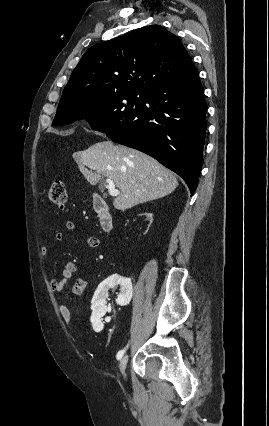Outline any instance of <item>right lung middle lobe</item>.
Listing matches in <instances>:
<instances>
[{
	"instance_id": "obj_1",
	"label": "right lung middle lobe",
	"mask_w": 269,
	"mask_h": 426,
	"mask_svg": "<svg viewBox=\"0 0 269 426\" xmlns=\"http://www.w3.org/2000/svg\"><path fill=\"white\" fill-rule=\"evenodd\" d=\"M145 99L146 93L140 92L61 98L53 125H66L87 117L94 130L107 133L137 113Z\"/></svg>"
}]
</instances>
